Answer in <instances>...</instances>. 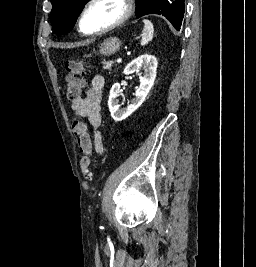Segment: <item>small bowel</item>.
I'll return each instance as SVG.
<instances>
[{"label":"small bowel","instance_id":"c3829d8e","mask_svg":"<svg viewBox=\"0 0 256 267\" xmlns=\"http://www.w3.org/2000/svg\"><path fill=\"white\" fill-rule=\"evenodd\" d=\"M104 83L105 80L102 75H94L89 84L83 83V87H85L84 93L73 100L71 105L77 118L88 119L93 129V141L91 137H89L88 150L91 153L94 148L98 155H101L104 152L102 134L100 131L102 124L100 102Z\"/></svg>","mask_w":256,"mask_h":267}]
</instances>
